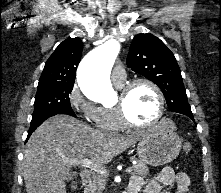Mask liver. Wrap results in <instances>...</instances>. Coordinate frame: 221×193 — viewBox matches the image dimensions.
I'll return each mask as SVG.
<instances>
[{"label":"liver","mask_w":221,"mask_h":193,"mask_svg":"<svg viewBox=\"0 0 221 193\" xmlns=\"http://www.w3.org/2000/svg\"><path fill=\"white\" fill-rule=\"evenodd\" d=\"M172 129L175 125L164 120ZM151 130L113 134L96 130L68 115H56L41 124L29 138L22 162L27 193H66L72 166L65 160L89 157L99 164L136 144Z\"/></svg>","instance_id":"6515ba94"}]
</instances>
